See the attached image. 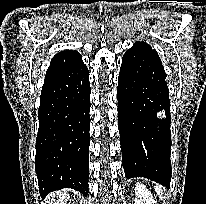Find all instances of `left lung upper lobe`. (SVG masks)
Listing matches in <instances>:
<instances>
[{"instance_id":"1","label":"left lung upper lobe","mask_w":206,"mask_h":204,"mask_svg":"<svg viewBox=\"0 0 206 204\" xmlns=\"http://www.w3.org/2000/svg\"><path fill=\"white\" fill-rule=\"evenodd\" d=\"M123 57L127 58L128 62L134 68L147 59L160 60L157 52L146 42H135Z\"/></svg>"}]
</instances>
